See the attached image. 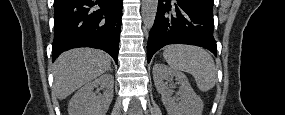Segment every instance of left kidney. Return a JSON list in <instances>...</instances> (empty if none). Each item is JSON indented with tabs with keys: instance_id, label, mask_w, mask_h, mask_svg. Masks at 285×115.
<instances>
[{
	"instance_id": "5707ae66",
	"label": "left kidney",
	"mask_w": 285,
	"mask_h": 115,
	"mask_svg": "<svg viewBox=\"0 0 285 115\" xmlns=\"http://www.w3.org/2000/svg\"><path fill=\"white\" fill-rule=\"evenodd\" d=\"M175 77L180 85L177 92L178 98L172 97V91L164 80ZM153 79L155 87L162 96V102L168 115H201L203 102L192 89L186 75L175 71L165 64L157 63L153 66Z\"/></svg>"
}]
</instances>
